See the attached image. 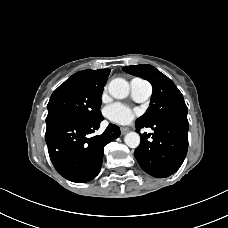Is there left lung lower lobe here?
Returning <instances> with one entry per match:
<instances>
[{
    "instance_id": "1",
    "label": "left lung lower lobe",
    "mask_w": 228,
    "mask_h": 228,
    "mask_svg": "<svg viewBox=\"0 0 228 228\" xmlns=\"http://www.w3.org/2000/svg\"><path fill=\"white\" fill-rule=\"evenodd\" d=\"M150 127L152 134H140L141 143L134 155L148 174L164 178L175 173L182 165L188 149L187 111H181L157 120L153 124L136 121L140 128ZM151 136L152 139H148Z\"/></svg>"
}]
</instances>
